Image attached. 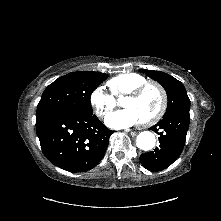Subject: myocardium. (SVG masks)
Masks as SVG:
<instances>
[{
    "mask_svg": "<svg viewBox=\"0 0 221 221\" xmlns=\"http://www.w3.org/2000/svg\"><path fill=\"white\" fill-rule=\"evenodd\" d=\"M149 87L156 88V90L160 94L161 104H160L158 111L153 116H151L150 118H148L140 123L142 126H145V127L151 126V125L157 123L164 116V114L167 110V106H168V97H167V93H166L165 89L157 82L146 81V82L142 83L141 85L137 86L136 88H134L132 91H130L125 96V98L136 99L139 96H141V94Z\"/></svg>",
    "mask_w": 221,
    "mask_h": 221,
    "instance_id": "myocardium-1",
    "label": "myocardium"
}]
</instances>
